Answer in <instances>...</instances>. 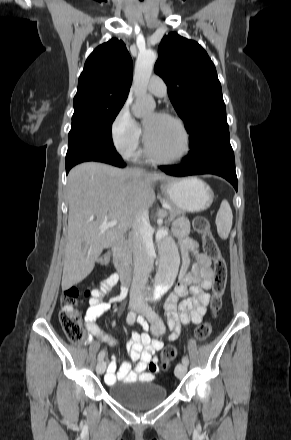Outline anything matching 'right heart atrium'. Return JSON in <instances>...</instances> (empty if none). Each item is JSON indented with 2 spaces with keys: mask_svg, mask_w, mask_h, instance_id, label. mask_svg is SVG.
I'll list each match as a JSON object with an SVG mask.
<instances>
[{
  "mask_svg": "<svg viewBox=\"0 0 291 440\" xmlns=\"http://www.w3.org/2000/svg\"><path fill=\"white\" fill-rule=\"evenodd\" d=\"M142 131L125 104L117 113L111 127L115 149L124 157L132 158L139 152Z\"/></svg>",
  "mask_w": 291,
  "mask_h": 440,
  "instance_id": "d8ad5b80",
  "label": "right heart atrium"
}]
</instances>
